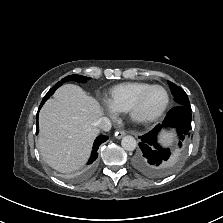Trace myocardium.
Returning a JSON list of instances; mask_svg holds the SVG:
<instances>
[{
	"instance_id": "f54148a6",
	"label": "myocardium",
	"mask_w": 223,
	"mask_h": 223,
	"mask_svg": "<svg viewBox=\"0 0 223 223\" xmlns=\"http://www.w3.org/2000/svg\"><path fill=\"white\" fill-rule=\"evenodd\" d=\"M157 88L162 89L165 92V95H166V101H165L163 107L161 108V110L158 113H156V114H154L152 116H147V117L146 116H142L140 114V110H141V107L143 105V102H144L145 98L147 97V95L152 90L157 89ZM169 104H170V95H169L168 90L164 86H162V85H151L150 87L145 89L138 96V98L136 99V101L134 102V104L132 105L130 110L128 111L129 112V117L135 124L147 125V124L153 123L156 120H158L165 113V111L167 110Z\"/></svg>"
}]
</instances>
